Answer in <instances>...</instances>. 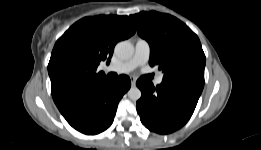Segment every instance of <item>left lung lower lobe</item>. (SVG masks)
<instances>
[{
	"label": "left lung lower lobe",
	"instance_id": "1",
	"mask_svg": "<svg viewBox=\"0 0 261 150\" xmlns=\"http://www.w3.org/2000/svg\"><path fill=\"white\" fill-rule=\"evenodd\" d=\"M136 84L142 92L136 103L141 122L159 134L172 133L190 119L204 87V82L184 76L163 79L156 87L144 79Z\"/></svg>",
	"mask_w": 261,
	"mask_h": 150
}]
</instances>
